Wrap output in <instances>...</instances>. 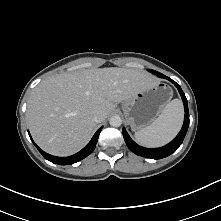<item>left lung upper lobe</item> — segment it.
<instances>
[{
  "mask_svg": "<svg viewBox=\"0 0 221 221\" xmlns=\"http://www.w3.org/2000/svg\"><path fill=\"white\" fill-rule=\"evenodd\" d=\"M148 71H150V72L156 74V75L159 76V77H160V75H161V73H159V72H157V71H155V70L149 69Z\"/></svg>",
  "mask_w": 221,
  "mask_h": 221,
  "instance_id": "obj_1",
  "label": "left lung upper lobe"
}]
</instances>
